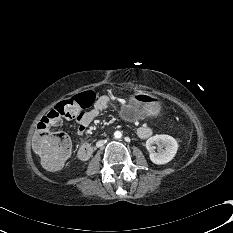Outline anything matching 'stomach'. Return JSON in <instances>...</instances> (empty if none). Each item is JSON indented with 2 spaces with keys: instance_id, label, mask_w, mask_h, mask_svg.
Wrapping results in <instances>:
<instances>
[{
  "instance_id": "obj_1",
  "label": "stomach",
  "mask_w": 233,
  "mask_h": 233,
  "mask_svg": "<svg viewBox=\"0 0 233 233\" xmlns=\"http://www.w3.org/2000/svg\"><path fill=\"white\" fill-rule=\"evenodd\" d=\"M159 111L160 103L157 97L145 92H137L131 96L129 105L121 109L120 115L124 120L135 121L157 115Z\"/></svg>"
}]
</instances>
